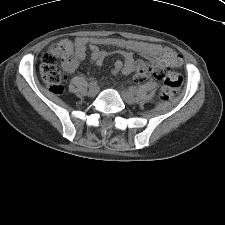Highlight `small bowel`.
<instances>
[{
  "label": "small bowel",
  "instance_id": "obj_1",
  "mask_svg": "<svg viewBox=\"0 0 225 225\" xmlns=\"http://www.w3.org/2000/svg\"><path fill=\"white\" fill-rule=\"evenodd\" d=\"M76 54L75 62L64 65V69L68 73L76 70L78 65L85 60L87 56V48L90 49V59L93 63L101 66L109 53L99 48V45H116L121 49L117 52L118 58L115 60L111 69V75L122 73L128 75L136 73L139 67L144 63L142 60H135L131 52L134 51L142 56L145 60L156 63L161 48L157 44L137 42L133 45H127L117 39L112 38H87L79 37L75 40Z\"/></svg>",
  "mask_w": 225,
  "mask_h": 225
}]
</instances>
